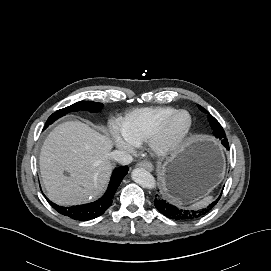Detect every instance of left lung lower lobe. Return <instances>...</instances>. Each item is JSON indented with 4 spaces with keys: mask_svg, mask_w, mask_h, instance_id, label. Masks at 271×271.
<instances>
[{
    "mask_svg": "<svg viewBox=\"0 0 271 271\" xmlns=\"http://www.w3.org/2000/svg\"><path fill=\"white\" fill-rule=\"evenodd\" d=\"M221 142L223 146L229 150V144L225 137L221 139ZM220 197L221 195L210 205L199 210H182L161 198L155 199L154 205L160 213H162L164 216L168 217L169 219L190 221V220L199 219L203 217L204 215H206L217 204Z\"/></svg>",
    "mask_w": 271,
    "mask_h": 271,
    "instance_id": "0a47b994",
    "label": "left lung lower lobe"
}]
</instances>
